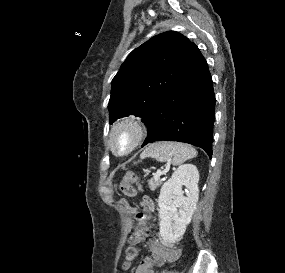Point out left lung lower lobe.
<instances>
[{"mask_svg":"<svg viewBox=\"0 0 285 273\" xmlns=\"http://www.w3.org/2000/svg\"><path fill=\"white\" fill-rule=\"evenodd\" d=\"M215 95L207 62L192 43L174 84L142 120L155 141H178L201 147L211 158Z\"/></svg>","mask_w":285,"mask_h":273,"instance_id":"obj_1","label":"left lung lower lobe"}]
</instances>
